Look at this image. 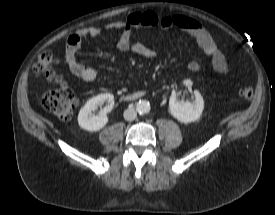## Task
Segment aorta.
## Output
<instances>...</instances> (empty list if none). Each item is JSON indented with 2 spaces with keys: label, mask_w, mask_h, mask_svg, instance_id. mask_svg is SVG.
Listing matches in <instances>:
<instances>
[{
  "label": "aorta",
  "mask_w": 275,
  "mask_h": 215,
  "mask_svg": "<svg viewBox=\"0 0 275 215\" xmlns=\"http://www.w3.org/2000/svg\"><path fill=\"white\" fill-rule=\"evenodd\" d=\"M136 109L140 114H145L150 111V103L148 101H139L136 105Z\"/></svg>",
  "instance_id": "obj_1"
}]
</instances>
